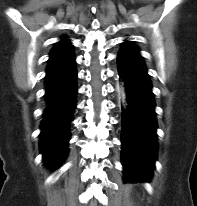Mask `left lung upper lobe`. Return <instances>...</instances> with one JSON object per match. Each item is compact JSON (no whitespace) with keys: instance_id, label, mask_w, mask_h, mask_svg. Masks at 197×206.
I'll return each mask as SVG.
<instances>
[{"instance_id":"left-lung-upper-lobe-1","label":"left lung upper lobe","mask_w":197,"mask_h":206,"mask_svg":"<svg viewBox=\"0 0 197 206\" xmlns=\"http://www.w3.org/2000/svg\"><path fill=\"white\" fill-rule=\"evenodd\" d=\"M123 46H125V47L133 50V51L136 52L137 54H139V48L136 47V46H134V43H133V42H131V41H125V42L123 43Z\"/></svg>"}]
</instances>
